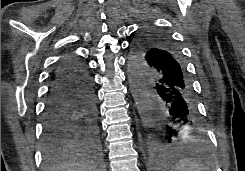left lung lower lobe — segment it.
Masks as SVG:
<instances>
[{
  "label": "left lung lower lobe",
  "mask_w": 245,
  "mask_h": 171,
  "mask_svg": "<svg viewBox=\"0 0 245 171\" xmlns=\"http://www.w3.org/2000/svg\"><path fill=\"white\" fill-rule=\"evenodd\" d=\"M130 67H139L151 92L154 123L160 126L162 137L148 135L146 146L153 159L150 167H161V162H169V156L178 154L166 145L191 132L199 122L191 81L177 48L173 47L160 48L148 56V61L130 62Z\"/></svg>",
  "instance_id": "1"
}]
</instances>
